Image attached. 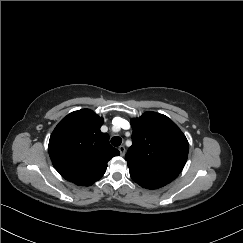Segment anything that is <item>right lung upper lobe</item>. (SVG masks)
I'll use <instances>...</instances> for the list:
<instances>
[{"instance_id":"right-lung-upper-lobe-1","label":"right lung upper lobe","mask_w":243,"mask_h":243,"mask_svg":"<svg viewBox=\"0 0 243 243\" xmlns=\"http://www.w3.org/2000/svg\"><path fill=\"white\" fill-rule=\"evenodd\" d=\"M103 118L90 109L74 111L64 117L49 140V155L55 169L66 180L90 186L106 172L107 162L119 151L109 143L100 128Z\"/></svg>"}]
</instances>
